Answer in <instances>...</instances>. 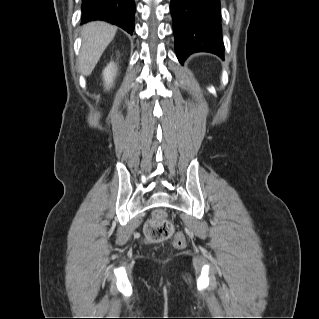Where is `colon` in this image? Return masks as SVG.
<instances>
[{
  "label": "colon",
  "instance_id": "5ec220e1",
  "mask_svg": "<svg viewBox=\"0 0 319 319\" xmlns=\"http://www.w3.org/2000/svg\"><path fill=\"white\" fill-rule=\"evenodd\" d=\"M145 230L151 242L162 243L173 237L172 243L175 247L183 248L186 245L185 236L182 233L174 234L172 222L162 213H156L151 217L145 225Z\"/></svg>",
  "mask_w": 319,
  "mask_h": 319
}]
</instances>
